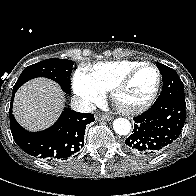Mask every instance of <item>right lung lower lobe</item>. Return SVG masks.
<instances>
[{"label":"right lung lower lobe","mask_w":196,"mask_h":196,"mask_svg":"<svg viewBox=\"0 0 196 196\" xmlns=\"http://www.w3.org/2000/svg\"><path fill=\"white\" fill-rule=\"evenodd\" d=\"M16 90L10 103V129L17 145L31 156L46 161H58L75 156L84 145L86 125L95 120L91 113H79L65 108L57 122L40 132L21 127L12 114Z\"/></svg>","instance_id":"98d812e1"}]
</instances>
